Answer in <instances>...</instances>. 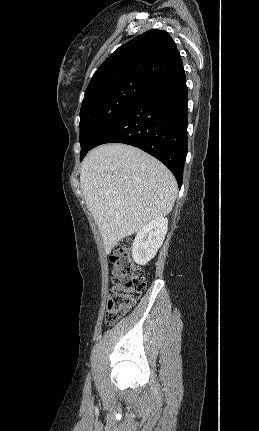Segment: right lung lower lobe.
<instances>
[{
  "mask_svg": "<svg viewBox=\"0 0 259 431\" xmlns=\"http://www.w3.org/2000/svg\"><path fill=\"white\" fill-rule=\"evenodd\" d=\"M187 103L184 72L149 88L106 127L91 149L112 142L138 147L167 166L180 188L187 155Z\"/></svg>",
  "mask_w": 259,
  "mask_h": 431,
  "instance_id": "obj_1",
  "label": "right lung lower lobe"
}]
</instances>
